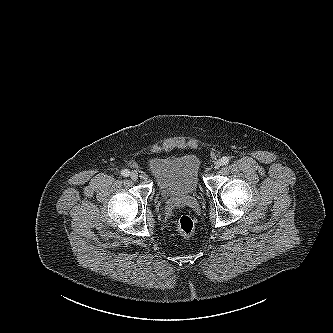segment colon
Listing matches in <instances>:
<instances>
[{"label": "colon", "mask_w": 333, "mask_h": 333, "mask_svg": "<svg viewBox=\"0 0 333 333\" xmlns=\"http://www.w3.org/2000/svg\"><path fill=\"white\" fill-rule=\"evenodd\" d=\"M195 229L193 219L188 215H182L177 222V230L183 236H190Z\"/></svg>", "instance_id": "colon-1"}]
</instances>
